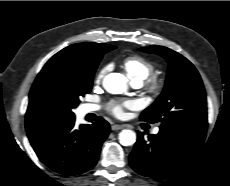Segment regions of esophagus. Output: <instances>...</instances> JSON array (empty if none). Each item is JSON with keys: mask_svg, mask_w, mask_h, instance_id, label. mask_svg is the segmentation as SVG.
<instances>
[{"mask_svg": "<svg viewBox=\"0 0 230 186\" xmlns=\"http://www.w3.org/2000/svg\"><path fill=\"white\" fill-rule=\"evenodd\" d=\"M124 127H125L124 125L114 124V125L111 126V129L113 131H117V130L123 129Z\"/></svg>", "mask_w": 230, "mask_h": 186, "instance_id": "1", "label": "esophagus"}]
</instances>
